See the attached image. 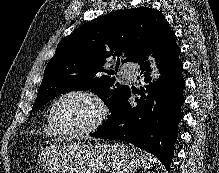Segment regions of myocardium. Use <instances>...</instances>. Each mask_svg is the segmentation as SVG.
I'll return each mask as SVG.
<instances>
[{
    "mask_svg": "<svg viewBox=\"0 0 219 173\" xmlns=\"http://www.w3.org/2000/svg\"><path fill=\"white\" fill-rule=\"evenodd\" d=\"M79 95L90 99L98 108V114L95 119L86 127L76 130V131H67L64 130L58 123L56 118V108L58 104L65 99L66 97ZM110 114L109 107L106 101L95 91L87 88H75L68 91L63 92L59 95L54 102L52 103L49 111V121L54 128V130L61 136L67 138H79L86 135H89L96 130H98L104 122L107 120Z\"/></svg>",
    "mask_w": 219,
    "mask_h": 173,
    "instance_id": "1",
    "label": "myocardium"
}]
</instances>
